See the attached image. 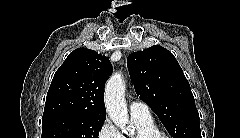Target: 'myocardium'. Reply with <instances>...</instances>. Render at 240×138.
Here are the masks:
<instances>
[{"mask_svg":"<svg viewBox=\"0 0 240 138\" xmlns=\"http://www.w3.org/2000/svg\"><path fill=\"white\" fill-rule=\"evenodd\" d=\"M144 138H165L160 132H152L144 136Z\"/></svg>","mask_w":240,"mask_h":138,"instance_id":"f54148a6","label":"myocardium"}]
</instances>
